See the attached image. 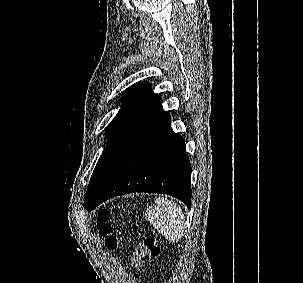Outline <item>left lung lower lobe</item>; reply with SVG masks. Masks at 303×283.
I'll return each mask as SVG.
<instances>
[{
    "mask_svg": "<svg viewBox=\"0 0 303 283\" xmlns=\"http://www.w3.org/2000/svg\"><path fill=\"white\" fill-rule=\"evenodd\" d=\"M170 116L157 97L99 189L84 206L94 209L114 196L133 192L163 193L191 206V165L184 139L174 133Z\"/></svg>",
    "mask_w": 303,
    "mask_h": 283,
    "instance_id": "0a47b994",
    "label": "left lung lower lobe"
}]
</instances>
